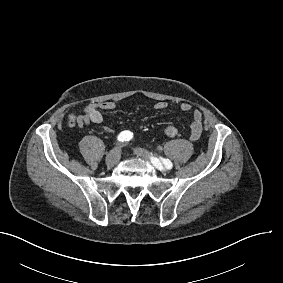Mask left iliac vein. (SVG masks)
I'll return each mask as SVG.
<instances>
[{
    "mask_svg": "<svg viewBox=\"0 0 283 283\" xmlns=\"http://www.w3.org/2000/svg\"><path fill=\"white\" fill-rule=\"evenodd\" d=\"M135 154L141 158H144V159H153V157L149 154L148 151H146L145 149L143 148H137L135 149ZM157 169H159L160 171H166V168L160 163L158 166H155Z\"/></svg>",
    "mask_w": 283,
    "mask_h": 283,
    "instance_id": "left-iliac-vein-1",
    "label": "left iliac vein"
}]
</instances>
